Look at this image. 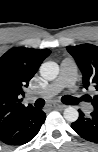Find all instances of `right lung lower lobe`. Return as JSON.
I'll list each match as a JSON object with an SVG mask.
<instances>
[{"label": "right lung lower lobe", "instance_id": "1", "mask_svg": "<svg viewBox=\"0 0 98 152\" xmlns=\"http://www.w3.org/2000/svg\"><path fill=\"white\" fill-rule=\"evenodd\" d=\"M45 118L46 114L42 110L32 108L0 132V141L7 145H23L29 142L37 135Z\"/></svg>", "mask_w": 98, "mask_h": 152}]
</instances>
